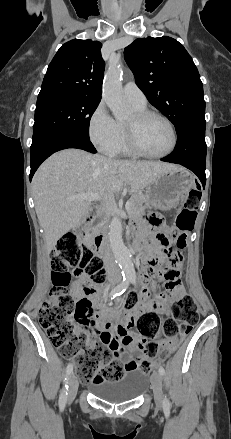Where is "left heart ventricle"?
Wrapping results in <instances>:
<instances>
[{
  "instance_id": "left-heart-ventricle-1",
  "label": "left heart ventricle",
  "mask_w": 231,
  "mask_h": 439,
  "mask_svg": "<svg viewBox=\"0 0 231 439\" xmlns=\"http://www.w3.org/2000/svg\"><path fill=\"white\" fill-rule=\"evenodd\" d=\"M134 115L127 124L133 123ZM137 141L147 153L159 154L169 149L172 134L165 121L158 117H149L141 122L136 129Z\"/></svg>"
}]
</instances>
